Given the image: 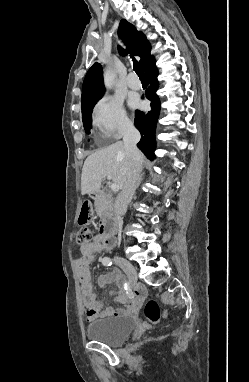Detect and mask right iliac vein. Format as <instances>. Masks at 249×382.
I'll return each instance as SVG.
<instances>
[{
    "label": "right iliac vein",
    "instance_id": "1",
    "mask_svg": "<svg viewBox=\"0 0 249 382\" xmlns=\"http://www.w3.org/2000/svg\"><path fill=\"white\" fill-rule=\"evenodd\" d=\"M115 261L125 271L132 282L137 280V272L131 262L122 257H117Z\"/></svg>",
    "mask_w": 249,
    "mask_h": 382
}]
</instances>
